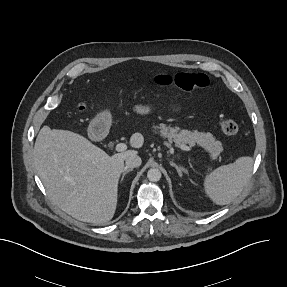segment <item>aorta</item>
Instances as JSON below:
<instances>
[{"label": "aorta", "mask_w": 287, "mask_h": 287, "mask_svg": "<svg viewBox=\"0 0 287 287\" xmlns=\"http://www.w3.org/2000/svg\"><path fill=\"white\" fill-rule=\"evenodd\" d=\"M147 178L151 182H157L161 179V172L157 168H151L147 172Z\"/></svg>", "instance_id": "obj_1"}]
</instances>
